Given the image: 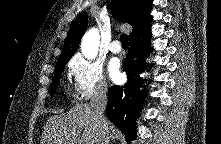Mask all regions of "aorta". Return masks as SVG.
<instances>
[{"instance_id": "1", "label": "aorta", "mask_w": 221, "mask_h": 144, "mask_svg": "<svg viewBox=\"0 0 221 144\" xmlns=\"http://www.w3.org/2000/svg\"><path fill=\"white\" fill-rule=\"evenodd\" d=\"M100 35L97 28H92L85 33L81 41V52L85 58L92 60L98 54Z\"/></svg>"}]
</instances>
